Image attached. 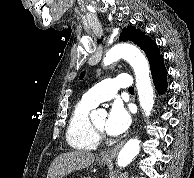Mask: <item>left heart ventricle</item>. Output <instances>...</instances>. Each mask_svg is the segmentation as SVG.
<instances>
[{
  "label": "left heart ventricle",
  "mask_w": 194,
  "mask_h": 178,
  "mask_svg": "<svg viewBox=\"0 0 194 178\" xmlns=\"http://www.w3.org/2000/svg\"><path fill=\"white\" fill-rule=\"evenodd\" d=\"M94 125L96 127H98L99 129H102L104 128V125H105V117H101L99 119H97L95 122H94Z\"/></svg>",
  "instance_id": "b2bd125f"
}]
</instances>
